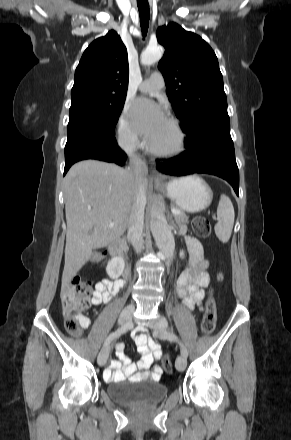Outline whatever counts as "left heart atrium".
<instances>
[{
    "mask_svg": "<svg viewBox=\"0 0 291 440\" xmlns=\"http://www.w3.org/2000/svg\"><path fill=\"white\" fill-rule=\"evenodd\" d=\"M131 117L138 132L148 141L154 139L168 122L164 109L145 97L138 98L132 103Z\"/></svg>",
    "mask_w": 291,
    "mask_h": 440,
    "instance_id": "left-heart-atrium-1",
    "label": "left heart atrium"
}]
</instances>
